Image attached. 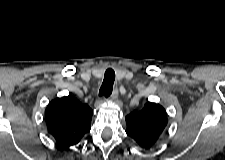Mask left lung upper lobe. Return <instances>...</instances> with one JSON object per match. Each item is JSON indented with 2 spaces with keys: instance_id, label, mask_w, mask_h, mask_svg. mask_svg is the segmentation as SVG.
I'll return each mask as SVG.
<instances>
[{
  "instance_id": "1",
  "label": "left lung upper lobe",
  "mask_w": 225,
  "mask_h": 160,
  "mask_svg": "<svg viewBox=\"0 0 225 160\" xmlns=\"http://www.w3.org/2000/svg\"><path fill=\"white\" fill-rule=\"evenodd\" d=\"M126 133L141 147L153 146L167 125V113L159 104L147 102L141 111L126 116Z\"/></svg>"
}]
</instances>
